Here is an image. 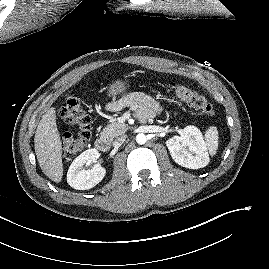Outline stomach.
I'll return each instance as SVG.
<instances>
[{
  "label": "stomach",
  "mask_w": 269,
  "mask_h": 269,
  "mask_svg": "<svg viewBox=\"0 0 269 269\" xmlns=\"http://www.w3.org/2000/svg\"><path fill=\"white\" fill-rule=\"evenodd\" d=\"M128 87L129 83L127 80H115L109 85L107 95L114 100L124 94Z\"/></svg>",
  "instance_id": "stomach-1"
}]
</instances>
